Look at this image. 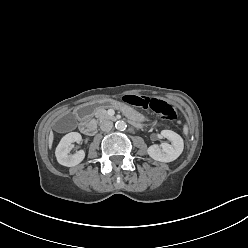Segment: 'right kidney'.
I'll list each match as a JSON object with an SVG mask.
<instances>
[{
  "label": "right kidney",
  "instance_id": "ca27d5eb",
  "mask_svg": "<svg viewBox=\"0 0 248 248\" xmlns=\"http://www.w3.org/2000/svg\"><path fill=\"white\" fill-rule=\"evenodd\" d=\"M82 137L78 132H70L66 134L58 146L56 147L55 155L59 164L67 167H73L78 165L85 158V152L83 150L76 151L71 154V144L73 142L79 143Z\"/></svg>",
  "mask_w": 248,
  "mask_h": 248
}]
</instances>
